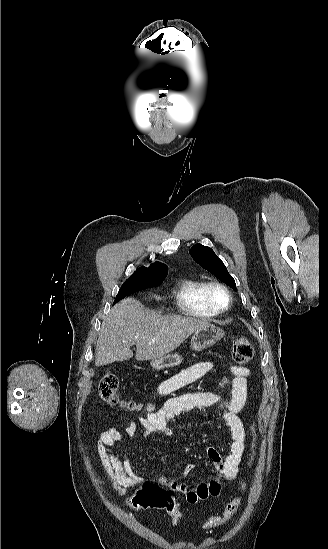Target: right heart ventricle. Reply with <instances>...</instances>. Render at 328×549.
<instances>
[{
    "label": "right heart ventricle",
    "instance_id": "right-heart-ventricle-1",
    "mask_svg": "<svg viewBox=\"0 0 328 549\" xmlns=\"http://www.w3.org/2000/svg\"><path fill=\"white\" fill-rule=\"evenodd\" d=\"M208 282L203 279L184 280L176 294V310L183 311V319H200V323L215 318L205 309L204 291Z\"/></svg>",
    "mask_w": 328,
    "mask_h": 549
}]
</instances>
